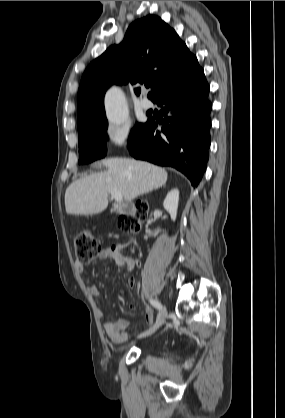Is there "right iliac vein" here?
I'll return each instance as SVG.
<instances>
[{
  "instance_id": "obj_1",
  "label": "right iliac vein",
  "mask_w": 285,
  "mask_h": 418,
  "mask_svg": "<svg viewBox=\"0 0 285 418\" xmlns=\"http://www.w3.org/2000/svg\"><path fill=\"white\" fill-rule=\"evenodd\" d=\"M165 318H166V311H165V308H162L159 311L155 324L148 330L141 332L138 335V338L146 337V336L153 334L156 330H158L164 324Z\"/></svg>"
}]
</instances>
